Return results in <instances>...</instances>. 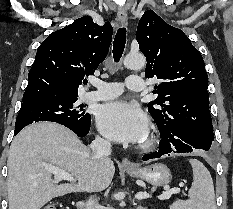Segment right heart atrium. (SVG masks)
<instances>
[{"label": "right heart atrium", "instance_id": "obj_1", "mask_svg": "<svg viewBox=\"0 0 233 209\" xmlns=\"http://www.w3.org/2000/svg\"><path fill=\"white\" fill-rule=\"evenodd\" d=\"M98 141L100 142V143H106L107 141L105 140V139H103V138H98Z\"/></svg>", "mask_w": 233, "mask_h": 209}]
</instances>
